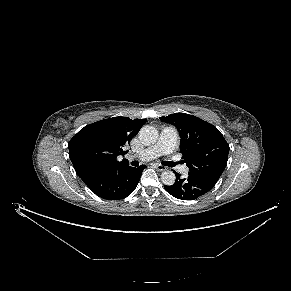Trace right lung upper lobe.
Segmentation results:
<instances>
[{"mask_svg": "<svg viewBox=\"0 0 291 291\" xmlns=\"http://www.w3.org/2000/svg\"><path fill=\"white\" fill-rule=\"evenodd\" d=\"M147 119L113 117L82 128L68 143L69 157L81 179L100 169H116L128 164L117 156L139 132Z\"/></svg>", "mask_w": 291, "mask_h": 291, "instance_id": "cb5924a9", "label": "right lung upper lobe"}]
</instances>
